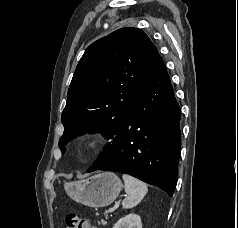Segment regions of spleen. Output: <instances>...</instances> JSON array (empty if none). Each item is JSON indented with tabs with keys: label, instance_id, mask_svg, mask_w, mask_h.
<instances>
[{
	"label": "spleen",
	"instance_id": "spleen-1",
	"mask_svg": "<svg viewBox=\"0 0 238 228\" xmlns=\"http://www.w3.org/2000/svg\"><path fill=\"white\" fill-rule=\"evenodd\" d=\"M122 178L126 192V198L122 202V207L124 209H131L141 202L147 194L148 188L145 183L133 176L124 174Z\"/></svg>",
	"mask_w": 238,
	"mask_h": 228
}]
</instances>
